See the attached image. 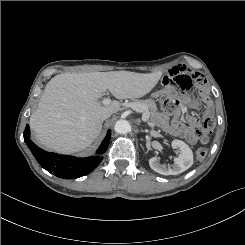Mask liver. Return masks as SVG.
<instances>
[{"instance_id":"1","label":"liver","mask_w":245,"mask_h":245,"mask_svg":"<svg viewBox=\"0 0 245 245\" xmlns=\"http://www.w3.org/2000/svg\"><path fill=\"white\" fill-rule=\"evenodd\" d=\"M162 71L149 74L130 71L63 73L46 85L37 110L30 117L36 140L58 153H74L90 147L102 129V116L120 110L114 101L102 105L106 90L117 99L141 98L158 83Z\"/></svg>"}]
</instances>
